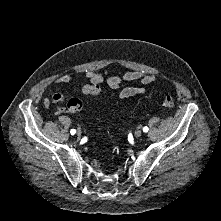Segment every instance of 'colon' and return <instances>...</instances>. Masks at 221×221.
<instances>
[{
    "label": "colon",
    "instance_id": "5ec220e1",
    "mask_svg": "<svg viewBox=\"0 0 221 221\" xmlns=\"http://www.w3.org/2000/svg\"><path fill=\"white\" fill-rule=\"evenodd\" d=\"M100 92V87L98 84H88L83 86L82 93L85 95H97ZM163 105L167 109L174 107V98L172 94H168L164 97ZM82 101L78 98H72L68 101V108L72 111H78L82 108Z\"/></svg>",
    "mask_w": 221,
    "mask_h": 221
}]
</instances>
